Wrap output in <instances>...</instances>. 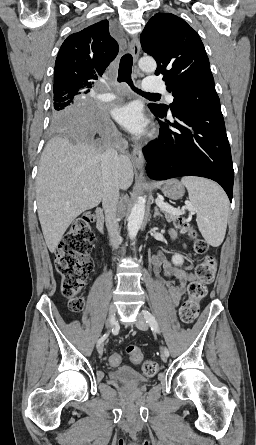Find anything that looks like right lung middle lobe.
<instances>
[{
    "instance_id": "1",
    "label": "right lung middle lobe",
    "mask_w": 256,
    "mask_h": 445,
    "mask_svg": "<svg viewBox=\"0 0 256 445\" xmlns=\"http://www.w3.org/2000/svg\"><path fill=\"white\" fill-rule=\"evenodd\" d=\"M87 93L68 92L60 96L54 95V105L52 110V130L66 131L73 137L71 125L75 123L77 112L88 100Z\"/></svg>"
}]
</instances>
